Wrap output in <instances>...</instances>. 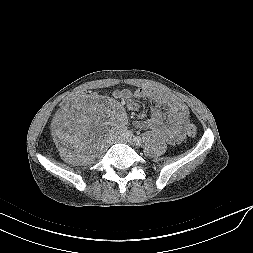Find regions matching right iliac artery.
<instances>
[{
	"mask_svg": "<svg viewBox=\"0 0 253 253\" xmlns=\"http://www.w3.org/2000/svg\"><path fill=\"white\" fill-rule=\"evenodd\" d=\"M125 134H126L127 137H132V135H133L131 131H126Z\"/></svg>",
	"mask_w": 253,
	"mask_h": 253,
	"instance_id": "obj_1",
	"label": "right iliac artery"
}]
</instances>
